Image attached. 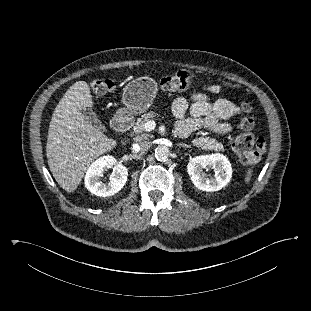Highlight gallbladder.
<instances>
[{"instance_id":"bac80fb5","label":"gallbladder","mask_w":311,"mask_h":311,"mask_svg":"<svg viewBox=\"0 0 311 311\" xmlns=\"http://www.w3.org/2000/svg\"><path fill=\"white\" fill-rule=\"evenodd\" d=\"M81 113L85 118L89 120V122L97 129L103 130L104 127L102 126V123L98 119L96 113L91 108H85L81 110Z\"/></svg>"}]
</instances>
